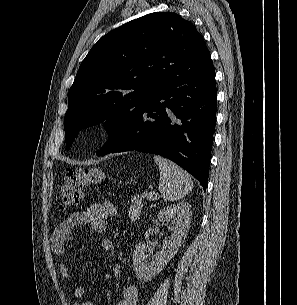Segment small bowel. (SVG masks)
Returning <instances> with one entry per match:
<instances>
[{
  "mask_svg": "<svg viewBox=\"0 0 297 305\" xmlns=\"http://www.w3.org/2000/svg\"><path fill=\"white\" fill-rule=\"evenodd\" d=\"M117 215L115 206L110 202L91 204L86 210L71 214L55 228L51 243L53 251L58 255H64L74 238L75 230L80 226H88L92 230L102 233L107 228V221ZM102 248L111 256L115 254V245L111 240L102 241ZM59 272L64 280L70 281V273L65 263L59 265ZM85 288L78 286L74 289V297L83 299ZM139 297V289L135 284H127L122 289V297L116 305H136ZM78 305H93L89 301H79Z\"/></svg>",
  "mask_w": 297,
  "mask_h": 305,
  "instance_id": "obj_1",
  "label": "small bowel"
}]
</instances>
